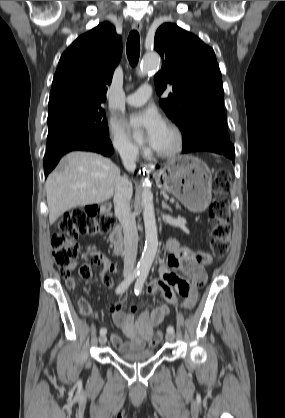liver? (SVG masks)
<instances>
[{
	"instance_id": "1",
	"label": "liver",
	"mask_w": 285,
	"mask_h": 418,
	"mask_svg": "<svg viewBox=\"0 0 285 418\" xmlns=\"http://www.w3.org/2000/svg\"><path fill=\"white\" fill-rule=\"evenodd\" d=\"M61 162L63 169L52 172L45 185L50 224L74 207L112 198L120 177L118 166L96 153L70 152Z\"/></svg>"
}]
</instances>
